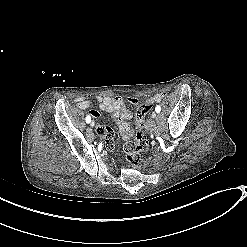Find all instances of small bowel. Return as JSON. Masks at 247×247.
Returning <instances> with one entry per match:
<instances>
[{
	"mask_svg": "<svg viewBox=\"0 0 247 247\" xmlns=\"http://www.w3.org/2000/svg\"><path fill=\"white\" fill-rule=\"evenodd\" d=\"M163 97L164 95L161 93L155 94L149 99V102L158 103L163 99ZM95 100L101 111L111 114L112 118L119 126L122 138L124 140L130 139L133 135V129L128 120L132 116V112L126 107L123 98L120 96H96ZM127 100L132 105L138 103V100L135 97H128ZM75 102L77 108L80 110H86L90 108L92 104L88 98L82 96L77 97ZM89 114L93 118L102 119V114L98 113V111L90 110ZM96 132L99 137L105 136V148L107 150H112L114 148V132L112 130L106 131L103 125H98L96 127Z\"/></svg>",
	"mask_w": 247,
	"mask_h": 247,
	"instance_id": "c3829d8e",
	"label": "small bowel"
}]
</instances>
